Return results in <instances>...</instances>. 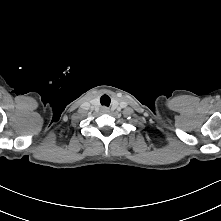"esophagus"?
<instances>
[{
	"mask_svg": "<svg viewBox=\"0 0 221 221\" xmlns=\"http://www.w3.org/2000/svg\"><path fill=\"white\" fill-rule=\"evenodd\" d=\"M102 111H103L104 113H107L109 110H108V108L103 107V108H102Z\"/></svg>",
	"mask_w": 221,
	"mask_h": 221,
	"instance_id": "obj_1",
	"label": "esophagus"
}]
</instances>
